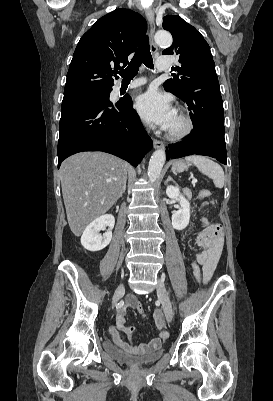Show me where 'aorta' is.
<instances>
[{
	"instance_id": "aorta-1",
	"label": "aorta",
	"mask_w": 273,
	"mask_h": 401,
	"mask_svg": "<svg viewBox=\"0 0 273 401\" xmlns=\"http://www.w3.org/2000/svg\"><path fill=\"white\" fill-rule=\"evenodd\" d=\"M154 39L157 45L165 48L169 47L173 41L171 34L166 31L157 32L155 34ZM165 160H166V154L165 151L162 149H158L152 154L149 161L148 172H147L149 180L151 182H155L158 179L161 170L163 168V165L165 163Z\"/></svg>"
}]
</instances>
